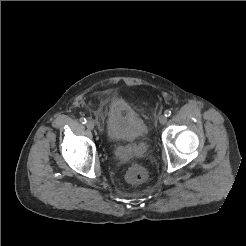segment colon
<instances>
[{
  "instance_id": "obj_1",
  "label": "colon",
  "mask_w": 246,
  "mask_h": 246,
  "mask_svg": "<svg viewBox=\"0 0 246 246\" xmlns=\"http://www.w3.org/2000/svg\"><path fill=\"white\" fill-rule=\"evenodd\" d=\"M147 178L146 170L140 165L132 166L126 173V179L129 183L138 184Z\"/></svg>"
}]
</instances>
